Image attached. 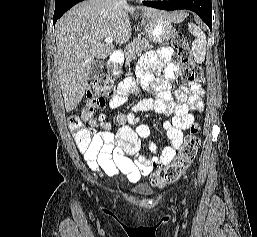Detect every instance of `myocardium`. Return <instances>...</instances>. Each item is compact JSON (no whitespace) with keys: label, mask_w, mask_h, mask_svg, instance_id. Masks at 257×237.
Segmentation results:
<instances>
[{"label":"myocardium","mask_w":257,"mask_h":237,"mask_svg":"<svg viewBox=\"0 0 257 237\" xmlns=\"http://www.w3.org/2000/svg\"><path fill=\"white\" fill-rule=\"evenodd\" d=\"M153 1H167V0H153Z\"/></svg>","instance_id":"myocardium-1"}]
</instances>
